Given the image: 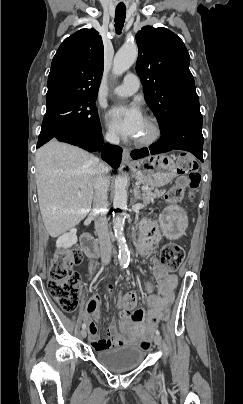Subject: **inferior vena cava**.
<instances>
[{"mask_svg":"<svg viewBox=\"0 0 243 404\" xmlns=\"http://www.w3.org/2000/svg\"><path fill=\"white\" fill-rule=\"evenodd\" d=\"M110 144H119L118 136L109 134L106 136ZM110 184L109 168L106 164H99L98 174L94 182L93 214L95 216V232L99 238L101 262L110 264L112 246L108 232L107 214V192Z\"/></svg>","mask_w":243,"mask_h":404,"instance_id":"obj_1","label":"inferior vena cava"}]
</instances>
